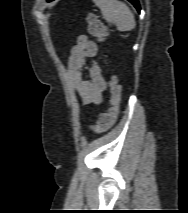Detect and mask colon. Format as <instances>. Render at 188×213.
Wrapping results in <instances>:
<instances>
[{"label":"colon","instance_id":"1","mask_svg":"<svg viewBox=\"0 0 188 213\" xmlns=\"http://www.w3.org/2000/svg\"><path fill=\"white\" fill-rule=\"evenodd\" d=\"M87 27L89 33L99 41H103L107 37V29L100 19L93 13H89L86 17ZM110 88V108L99 115L97 123L93 129L98 132L109 129L116 121L122 101V88L118 84L116 77L111 76L109 79Z\"/></svg>","mask_w":188,"mask_h":213}]
</instances>
